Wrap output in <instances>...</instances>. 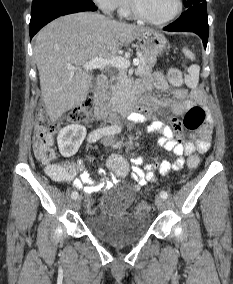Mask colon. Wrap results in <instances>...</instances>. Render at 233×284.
I'll list each match as a JSON object with an SVG mask.
<instances>
[{"label":"colon","instance_id":"obj_1","mask_svg":"<svg viewBox=\"0 0 233 284\" xmlns=\"http://www.w3.org/2000/svg\"><path fill=\"white\" fill-rule=\"evenodd\" d=\"M167 78L173 86H180L183 83V74L177 68H169L167 70ZM94 101L90 98L86 99L81 105L74 108L69 113V120L74 123H86L89 121L94 110ZM206 120L205 110L195 105L185 113L183 126L190 131L199 129ZM59 125L51 120L44 106L37 111L35 133H34V154L36 158L43 164H49L55 158L53 149L54 136L57 133ZM199 164V158L196 155L188 157L187 165L189 168H196ZM108 168L114 173L116 178H123L128 174L129 163L120 155H112L107 161ZM141 208L150 211L152 206L149 201L144 200Z\"/></svg>","mask_w":233,"mask_h":284}]
</instances>
